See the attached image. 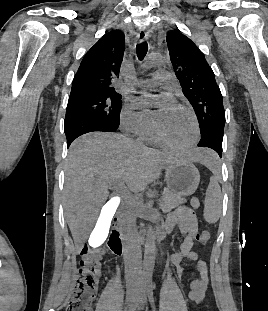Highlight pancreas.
<instances>
[{"label":"pancreas","mask_w":268,"mask_h":311,"mask_svg":"<svg viewBox=\"0 0 268 311\" xmlns=\"http://www.w3.org/2000/svg\"><path fill=\"white\" fill-rule=\"evenodd\" d=\"M183 203H185L184 198H182L180 195L174 194L169 189H166L163 192L159 207L164 213H167ZM134 205L138 206L139 202L134 203Z\"/></svg>","instance_id":"obj_1"}]
</instances>
